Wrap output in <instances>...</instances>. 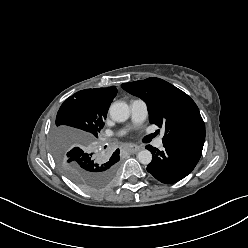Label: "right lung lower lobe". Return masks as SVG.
<instances>
[{
    "label": "right lung lower lobe",
    "instance_id": "right-lung-lower-lobe-1",
    "mask_svg": "<svg viewBox=\"0 0 248 248\" xmlns=\"http://www.w3.org/2000/svg\"><path fill=\"white\" fill-rule=\"evenodd\" d=\"M113 156L118 157L120 159L119 150L118 149L113 153Z\"/></svg>",
    "mask_w": 248,
    "mask_h": 248
}]
</instances>
